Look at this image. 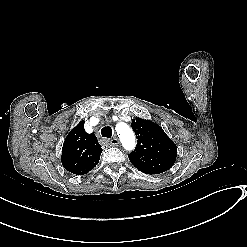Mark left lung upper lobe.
Segmentation results:
<instances>
[{"label":"left lung upper lobe","mask_w":247,"mask_h":247,"mask_svg":"<svg viewBox=\"0 0 247 247\" xmlns=\"http://www.w3.org/2000/svg\"><path fill=\"white\" fill-rule=\"evenodd\" d=\"M132 129L137 136V147L128 157L131 163L146 174H160L170 169L177 156V147L156 123L136 118Z\"/></svg>","instance_id":"5c2ea615"}]
</instances>
